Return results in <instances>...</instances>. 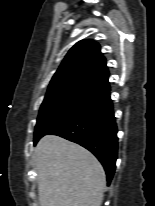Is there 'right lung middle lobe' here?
Returning a JSON list of instances; mask_svg holds the SVG:
<instances>
[{
	"instance_id": "obj_1",
	"label": "right lung middle lobe",
	"mask_w": 155,
	"mask_h": 206,
	"mask_svg": "<svg viewBox=\"0 0 155 206\" xmlns=\"http://www.w3.org/2000/svg\"><path fill=\"white\" fill-rule=\"evenodd\" d=\"M106 96L107 94L101 91L87 87L60 88L47 91L35 126L34 142L96 106Z\"/></svg>"
}]
</instances>
